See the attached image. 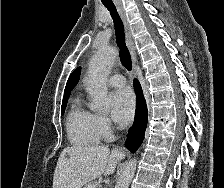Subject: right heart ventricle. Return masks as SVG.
<instances>
[{
	"label": "right heart ventricle",
	"mask_w": 224,
	"mask_h": 188,
	"mask_svg": "<svg viewBox=\"0 0 224 188\" xmlns=\"http://www.w3.org/2000/svg\"><path fill=\"white\" fill-rule=\"evenodd\" d=\"M67 132L71 143L77 146L96 145L101 137L95 126L94 114L86 110L79 100L68 114Z\"/></svg>",
	"instance_id": "right-heart-ventricle-1"
}]
</instances>
